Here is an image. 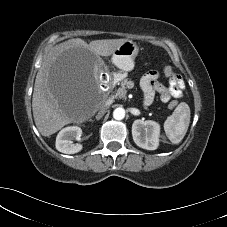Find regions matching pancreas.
<instances>
[{
  "mask_svg": "<svg viewBox=\"0 0 227 227\" xmlns=\"http://www.w3.org/2000/svg\"><path fill=\"white\" fill-rule=\"evenodd\" d=\"M119 84L120 87L116 91L115 95H113L112 97L122 99L126 97L128 79L127 78L123 79Z\"/></svg>",
  "mask_w": 227,
  "mask_h": 227,
  "instance_id": "obj_1",
  "label": "pancreas"
}]
</instances>
